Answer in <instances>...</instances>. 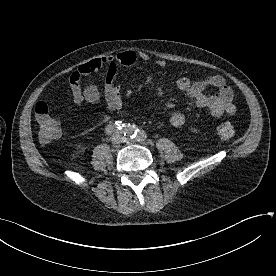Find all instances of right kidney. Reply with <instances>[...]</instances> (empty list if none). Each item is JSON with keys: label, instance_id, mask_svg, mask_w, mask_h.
Here are the masks:
<instances>
[{"label": "right kidney", "instance_id": "obj_1", "mask_svg": "<svg viewBox=\"0 0 276 276\" xmlns=\"http://www.w3.org/2000/svg\"><path fill=\"white\" fill-rule=\"evenodd\" d=\"M76 154H79V151H76Z\"/></svg>", "mask_w": 276, "mask_h": 276}]
</instances>
